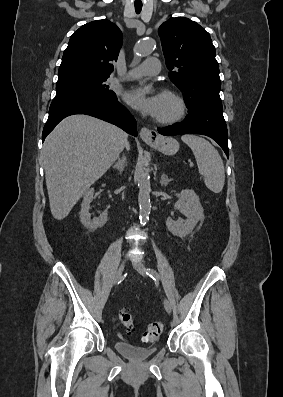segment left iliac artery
<instances>
[{
	"instance_id": "left-iliac-artery-1",
	"label": "left iliac artery",
	"mask_w": 283,
	"mask_h": 397,
	"mask_svg": "<svg viewBox=\"0 0 283 397\" xmlns=\"http://www.w3.org/2000/svg\"><path fill=\"white\" fill-rule=\"evenodd\" d=\"M146 274L149 275L155 281L160 280V275L153 269L147 268Z\"/></svg>"
}]
</instances>
